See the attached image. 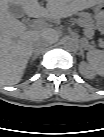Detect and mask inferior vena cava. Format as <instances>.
<instances>
[{"mask_svg": "<svg viewBox=\"0 0 104 137\" xmlns=\"http://www.w3.org/2000/svg\"><path fill=\"white\" fill-rule=\"evenodd\" d=\"M48 42L47 41H40L34 46V53L38 55L40 52L44 51V49L47 47Z\"/></svg>", "mask_w": 104, "mask_h": 137, "instance_id": "1", "label": "inferior vena cava"}]
</instances>
